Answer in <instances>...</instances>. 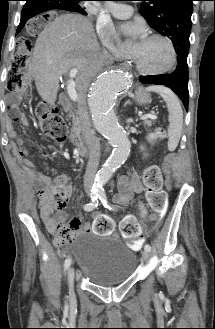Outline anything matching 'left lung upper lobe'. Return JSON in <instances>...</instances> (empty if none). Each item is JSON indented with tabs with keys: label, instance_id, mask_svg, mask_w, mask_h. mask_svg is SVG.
<instances>
[{
	"label": "left lung upper lobe",
	"instance_id": "obj_1",
	"mask_svg": "<svg viewBox=\"0 0 215 329\" xmlns=\"http://www.w3.org/2000/svg\"><path fill=\"white\" fill-rule=\"evenodd\" d=\"M140 10L149 25L168 37L176 50L189 52L194 0H143Z\"/></svg>",
	"mask_w": 215,
	"mask_h": 329
}]
</instances>
